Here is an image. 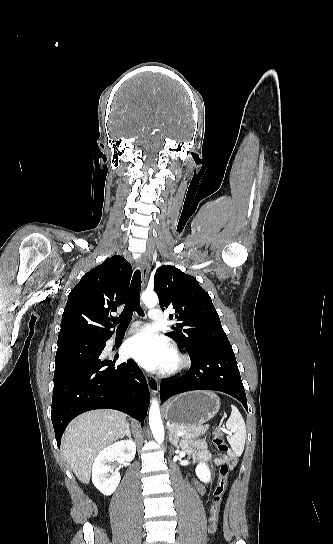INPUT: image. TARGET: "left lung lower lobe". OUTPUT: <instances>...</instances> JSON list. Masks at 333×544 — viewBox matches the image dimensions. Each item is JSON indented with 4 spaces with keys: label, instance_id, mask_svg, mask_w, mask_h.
Returning <instances> with one entry per match:
<instances>
[{
    "label": "left lung lower lobe",
    "instance_id": "obj_1",
    "mask_svg": "<svg viewBox=\"0 0 333 544\" xmlns=\"http://www.w3.org/2000/svg\"><path fill=\"white\" fill-rule=\"evenodd\" d=\"M191 367L182 377L162 380L160 398L164 402L176 394L192 390H216L238 399L248 411L246 394L233 350L206 348L189 354Z\"/></svg>",
    "mask_w": 333,
    "mask_h": 544
}]
</instances>
